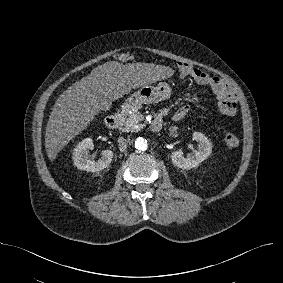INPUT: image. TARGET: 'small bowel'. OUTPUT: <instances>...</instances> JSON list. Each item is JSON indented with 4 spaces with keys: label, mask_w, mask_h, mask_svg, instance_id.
I'll list each match as a JSON object with an SVG mask.
<instances>
[{
    "label": "small bowel",
    "mask_w": 283,
    "mask_h": 283,
    "mask_svg": "<svg viewBox=\"0 0 283 283\" xmlns=\"http://www.w3.org/2000/svg\"><path fill=\"white\" fill-rule=\"evenodd\" d=\"M187 74L191 75L198 84L211 87L218 100L217 110L220 114L225 116H234L236 114L238 103L232 96L228 87L221 82L220 78L211 76L207 72L198 68H192L188 71H182V75ZM192 109L193 108L191 105H185L179 108L175 113H173L172 119L175 121L183 120L192 112ZM168 115L169 111L165 109L160 111L157 117L163 119Z\"/></svg>",
    "instance_id": "small-bowel-1"
}]
</instances>
